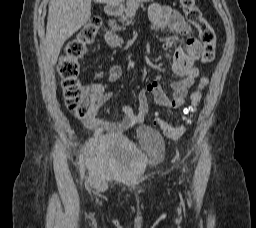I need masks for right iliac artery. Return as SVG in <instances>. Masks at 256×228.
<instances>
[{
  "mask_svg": "<svg viewBox=\"0 0 256 228\" xmlns=\"http://www.w3.org/2000/svg\"><path fill=\"white\" fill-rule=\"evenodd\" d=\"M82 161H83V154H81L80 157H79V163L81 164Z\"/></svg>",
  "mask_w": 256,
  "mask_h": 228,
  "instance_id": "82829eb1",
  "label": "right iliac artery"
}]
</instances>
